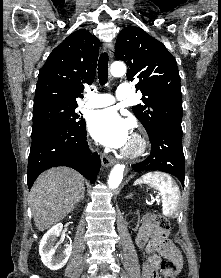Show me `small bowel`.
<instances>
[{
  "mask_svg": "<svg viewBox=\"0 0 221 278\" xmlns=\"http://www.w3.org/2000/svg\"><path fill=\"white\" fill-rule=\"evenodd\" d=\"M167 237L168 232L155 226L151 215L143 218L135 239L137 246L144 248L147 254L141 278H160L158 268L161 257L174 261L178 269L181 268V254Z\"/></svg>",
  "mask_w": 221,
  "mask_h": 278,
  "instance_id": "c3829d8e",
  "label": "small bowel"
}]
</instances>
